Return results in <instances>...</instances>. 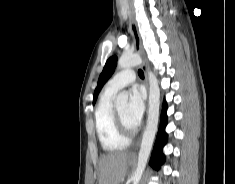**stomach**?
Masks as SVG:
<instances>
[{
  "instance_id": "stomach-1",
  "label": "stomach",
  "mask_w": 235,
  "mask_h": 184,
  "mask_svg": "<svg viewBox=\"0 0 235 184\" xmlns=\"http://www.w3.org/2000/svg\"><path fill=\"white\" fill-rule=\"evenodd\" d=\"M134 160H133V156H129L128 158V164H133Z\"/></svg>"
}]
</instances>
